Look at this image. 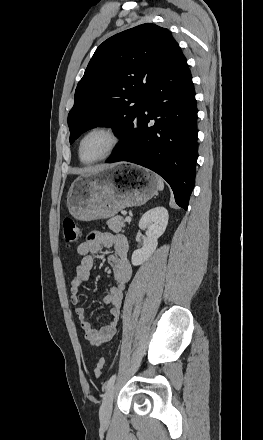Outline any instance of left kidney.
<instances>
[{"label":"left kidney","mask_w":263,"mask_h":440,"mask_svg":"<svg viewBox=\"0 0 263 440\" xmlns=\"http://www.w3.org/2000/svg\"><path fill=\"white\" fill-rule=\"evenodd\" d=\"M168 211L165 207L159 206L147 211L139 221V228L146 229L147 241L141 249L133 252L131 257L132 265L139 266L147 261L158 245V238L165 232L168 224Z\"/></svg>","instance_id":"obj_1"}]
</instances>
